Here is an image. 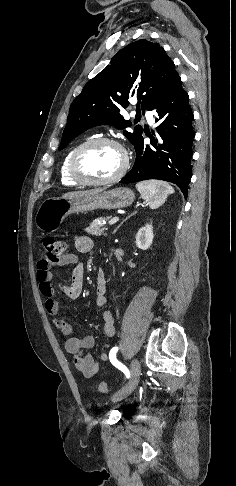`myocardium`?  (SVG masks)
I'll return each mask as SVG.
<instances>
[{
  "label": "myocardium",
  "mask_w": 236,
  "mask_h": 486,
  "mask_svg": "<svg viewBox=\"0 0 236 486\" xmlns=\"http://www.w3.org/2000/svg\"><path fill=\"white\" fill-rule=\"evenodd\" d=\"M99 144H109L115 146L121 151L123 156V163L120 170L114 176L105 179L89 178L81 172L79 167V161L83 153L88 149H90L91 147ZM128 167H129L128 153L124 148V146L119 141L108 137H97L81 143L74 150L69 160L68 170L70 176L79 184L97 186V185H108L121 180L126 174Z\"/></svg>",
  "instance_id": "obj_1"
}]
</instances>
